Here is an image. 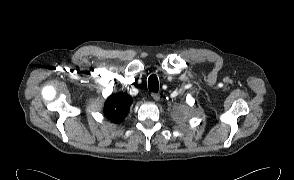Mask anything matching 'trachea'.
Segmentation results:
<instances>
[{"label": "trachea", "instance_id": "obj_1", "mask_svg": "<svg viewBox=\"0 0 294 180\" xmlns=\"http://www.w3.org/2000/svg\"><path fill=\"white\" fill-rule=\"evenodd\" d=\"M148 88L152 92H158L159 82L156 75H151L148 79Z\"/></svg>", "mask_w": 294, "mask_h": 180}]
</instances>
